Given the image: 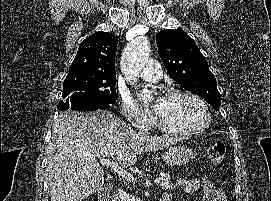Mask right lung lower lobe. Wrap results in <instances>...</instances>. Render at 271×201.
Listing matches in <instances>:
<instances>
[{"mask_svg": "<svg viewBox=\"0 0 271 201\" xmlns=\"http://www.w3.org/2000/svg\"><path fill=\"white\" fill-rule=\"evenodd\" d=\"M111 107V104L107 103H85L81 99L77 100H71L65 99L62 100L58 103V110H76V111H95V110H104V109H109Z\"/></svg>", "mask_w": 271, "mask_h": 201, "instance_id": "obj_1", "label": "right lung lower lobe"}]
</instances>
